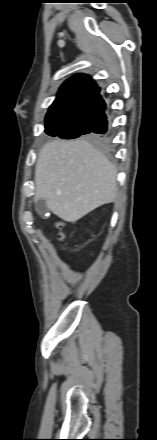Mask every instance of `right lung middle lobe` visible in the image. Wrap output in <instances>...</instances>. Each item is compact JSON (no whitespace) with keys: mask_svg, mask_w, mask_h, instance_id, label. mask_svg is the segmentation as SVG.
Instances as JSON below:
<instances>
[{"mask_svg":"<svg viewBox=\"0 0 157 440\" xmlns=\"http://www.w3.org/2000/svg\"><path fill=\"white\" fill-rule=\"evenodd\" d=\"M45 128V132L48 135L63 139H74L81 136L94 138L96 133L90 127L84 126L77 120L46 121Z\"/></svg>","mask_w":157,"mask_h":440,"instance_id":"dd1d6c3e","label":"right lung middle lobe"}]
</instances>
